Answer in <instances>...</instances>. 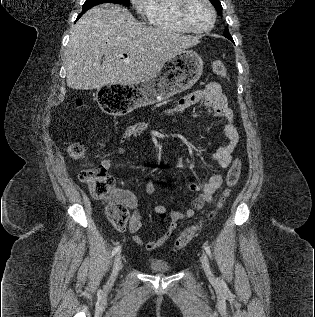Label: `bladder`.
<instances>
[{"mask_svg": "<svg viewBox=\"0 0 315 317\" xmlns=\"http://www.w3.org/2000/svg\"><path fill=\"white\" fill-rule=\"evenodd\" d=\"M149 268L155 273H168L171 271V266L168 262L159 259H153L149 262Z\"/></svg>", "mask_w": 315, "mask_h": 317, "instance_id": "31cf9c89", "label": "bladder"}]
</instances>
